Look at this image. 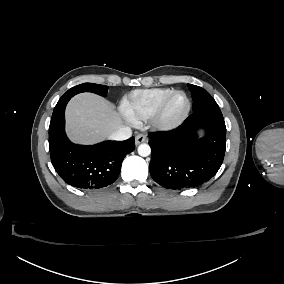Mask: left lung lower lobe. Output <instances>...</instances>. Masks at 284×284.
<instances>
[{"mask_svg": "<svg viewBox=\"0 0 284 284\" xmlns=\"http://www.w3.org/2000/svg\"><path fill=\"white\" fill-rule=\"evenodd\" d=\"M206 135L199 138L197 130ZM154 181L172 190L197 187L219 170L226 148V126L219 106L194 111L178 128L149 134Z\"/></svg>", "mask_w": 284, "mask_h": 284, "instance_id": "obj_1", "label": "left lung lower lobe"}]
</instances>
